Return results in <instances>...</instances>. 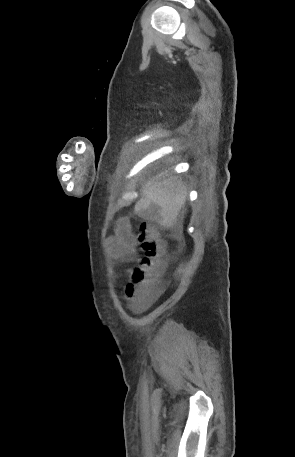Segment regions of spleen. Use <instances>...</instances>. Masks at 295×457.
Returning a JSON list of instances; mask_svg holds the SVG:
<instances>
[{
  "instance_id": "obj_1",
  "label": "spleen",
  "mask_w": 295,
  "mask_h": 457,
  "mask_svg": "<svg viewBox=\"0 0 295 457\" xmlns=\"http://www.w3.org/2000/svg\"><path fill=\"white\" fill-rule=\"evenodd\" d=\"M142 193L135 211L151 214L156 210L160 224L170 227L185 204L187 188L182 180L160 174L143 186Z\"/></svg>"
}]
</instances>
